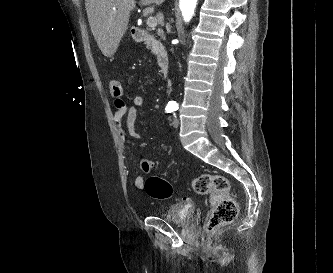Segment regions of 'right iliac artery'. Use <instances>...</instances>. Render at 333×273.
<instances>
[{
  "label": "right iliac artery",
  "mask_w": 333,
  "mask_h": 273,
  "mask_svg": "<svg viewBox=\"0 0 333 273\" xmlns=\"http://www.w3.org/2000/svg\"><path fill=\"white\" fill-rule=\"evenodd\" d=\"M173 110H174V108L171 107V106H166V108H165V111H166L167 113H170V112H172Z\"/></svg>",
  "instance_id": "obj_1"
}]
</instances>
